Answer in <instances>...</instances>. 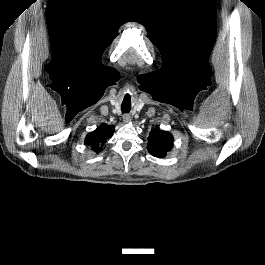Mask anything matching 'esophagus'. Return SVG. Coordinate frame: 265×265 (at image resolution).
<instances>
[{"label":"esophagus","instance_id":"1","mask_svg":"<svg viewBox=\"0 0 265 265\" xmlns=\"http://www.w3.org/2000/svg\"><path fill=\"white\" fill-rule=\"evenodd\" d=\"M123 121H124V123H130L131 116L129 114H124L123 115Z\"/></svg>","mask_w":265,"mask_h":265}]
</instances>
